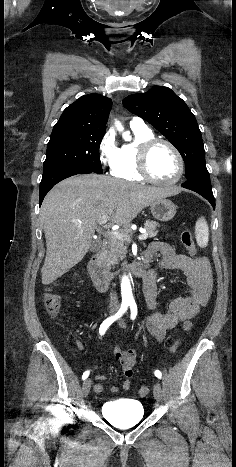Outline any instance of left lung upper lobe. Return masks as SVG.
I'll use <instances>...</instances> for the list:
<instances>
[{
	"label": "left lung upper lobe",
	"instance_id": "1",
	"mask_svg": "<svg viewBox=\"0 0 236 467\" xmlns=\"http://www.w3.org/2000/svg\"><path fill=\"white\" fill-rule=\"evenodd\" d=\"M131 113L148 121L180 152L187 179L206 174L205 151L195 116L170 88L157 86L123 100Z\"/></svg>",
	"mask_w": 236,
	"mask_h": 467
}]
</instances>
